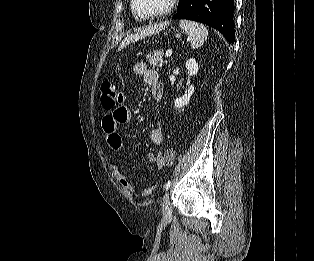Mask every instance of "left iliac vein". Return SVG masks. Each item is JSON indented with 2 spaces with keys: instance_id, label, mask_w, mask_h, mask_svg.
<instances>
[{
  "instance_id": "left-iliac-vein-1",
  "label": "left iliac vein",
  "mask_w": 314,
  "mask_h": 261,
  "mask_svg": "<svg viewBox=\"0 0 314 261\" xmlns=\"http://www.w3.org/2000/svg\"><path fill=\"white\" fill-rule=\"evenodd\" d=\"M162 213H163L164 218H170L171 217V205H170L168 193H166L163 197Z\"/></svg>"
}]
</instances>
